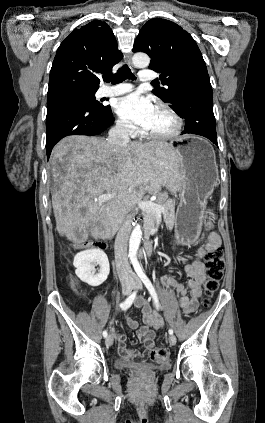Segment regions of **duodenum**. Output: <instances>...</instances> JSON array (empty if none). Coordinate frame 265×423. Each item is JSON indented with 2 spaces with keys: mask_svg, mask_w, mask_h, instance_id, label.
<instances>
[{
  "mask_svg": "<svg viewBox=\"0 0 265 423\" xmlns=\"http://www.w3.org/2000/svg\"><path fill=\"white\" fill-rule=\"evenodd\" d=\"M153 252H154L153 243L150 240H147L144 245V255L146 257H149L153 254Z\"/></svg>",
  "mask_w": 265,
  "mask_h": 423,
  "instance_id": "obj_1",
  "label": "duodenum"
}]
</instances>
